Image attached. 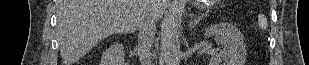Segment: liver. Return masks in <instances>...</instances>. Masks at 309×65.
<instances>
[{"instance_id":"1","label":"liver","mask_w":309,"mask_h":65,"mask_svg":"<svg viewBox=\"0 0 309 65\" xmlns=\"http://www.w3.org/2000/svg\"><path fill=\"white\" fill-rule=\"evenodd\" d=\"M166 0H57V34L64 65H72L112 34L139 29L144 17H162Z\"/></svg>"}]
</instances>
